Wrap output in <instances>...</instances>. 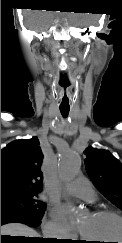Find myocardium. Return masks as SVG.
<instances>
[{
  "label": "myocardium",
  "mask_w": 122,
  "mask_h": 243,
  "mask_svg": "<svg viewBox=\"0 0 122 243\" xmlns=\"http://www.w3.org/2000/svg\"><path fill=\"white\" fill-rule=\"evenodd\" d=\"M91 214L93 216H113V217L119 219L122 222V214H120V213H118V212H116L114 210H110V209H97V210L92 211ZM81 236L84 237V235L82 234V232H81ZM119 243H122V241L119 242Z\"/></svg>",
  "instance_id": "myocardium-1"
}]
</instances>
